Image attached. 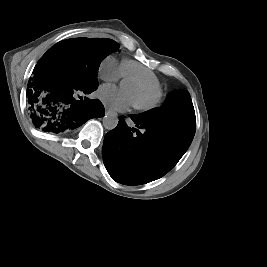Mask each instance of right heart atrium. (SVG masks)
<instances>
[{
    "mask_svg": "<svg viewBox=\"0 0 267 267\" xmlns=\"http://www.w3.org/2000/svg\"><path fill=\"white\" fill-rule=\"evenodd\" d=\"M99 74L106 81H117L121 77V67L113 57H107L100 66Z\"/></svg>",
    "mask_w": 267,
    "mask_h": 267,
    "instance_id": "obj_1",
    "label": "right heart atrium"
}]
</instances>
